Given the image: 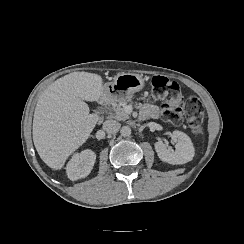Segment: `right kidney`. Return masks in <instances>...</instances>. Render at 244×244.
<instances>
[{"instance_id":"obj_1","label":"right kidney","mask_w":244,"mask_h":244,"mask_svg":"<svg viewBox=\"0 0 244 244\" xmlns=\"http://www.w3.org/2000/svg\"><path fill=\"white\" fill-rule=\"evenodd\" d=\"M95 160L96 154L90 149L74 154L66 166L68 178L75 181L88 176L94 166Z\"/></svg>"}]
</instances>
